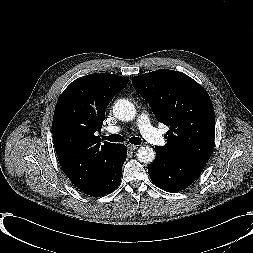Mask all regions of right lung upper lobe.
<instances>
[{
  "label": "right lung upper lobe",
  "instance_id": "cb5924a9",
  "mask_svg": "<svg viewBox=\"0 0 253 253\" xmlns=\"http://www.w3.org/2000/svg\"><path fill=\"white\" fill-rule=\"evenodd\" d=\"M129 78L89 74L73 81L58 99L52 133L59 163L81 191L94 185L113 165L118 144H100L99 131L111 99Z\"/></svg>",
  "mask_w": 253,
  "mask_h": 253
}]
</instances>
